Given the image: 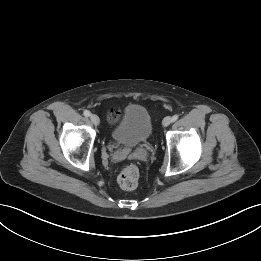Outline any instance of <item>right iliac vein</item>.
<instances>
[{"label":"right iliac vein","mask_w":261,"mask_h":261,"mask_svg":"<svg viewBox=\"0 0 261 261\" xmlns=\"http://www.w3.org/2000/svg\"><path fill=\"white\" fill-rule=\"evenodd\" d=\"M90 120H91V122H92L95 126L99 125V123H100V119H99V117H98L96 114H92V115L90 116Z\"/></svg>","instance_id":"right-iliac-vein-1"}]
</instances>
